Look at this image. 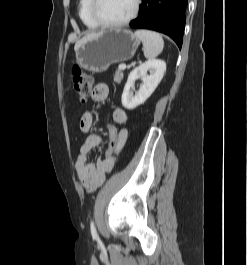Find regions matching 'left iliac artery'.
Returning a JSON list of instances; mask_svg holds the SVG:
<instances>
[{"instance_id": "44dca946", "label": "left iliac artery", "mask_w": 247, "mask_h": 265, "mask_svg": "<svg viewBox=\"0 0 247 265\" xmlns=\"http://www.w3.org/2000/svg\"><path fill=\"white\" fill-rule=\"evenodd\" d=\"M90 227H91L92 237L94 239H97L98 238V234H97V231H96V228H95V225H94L93 221H91Z\"/></svg>"}]
</instances>
